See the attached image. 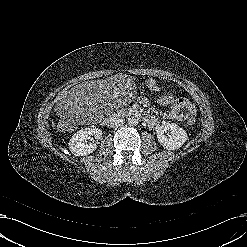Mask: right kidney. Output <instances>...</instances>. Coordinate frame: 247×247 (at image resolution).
<instances>
[{"label":"right kidney","instance_id":"right-kidney-1","mask_svg":"<svg viewBox=\"0 0 247 247\" xmlns=\"http://www.w3.org/2000/svg\"><path fill=\"white\" fill-rule=\"evenodd\" d=\"M91 136L96 139L102 137V130L94 127H88L76 132L69 141V149L75 156H85L96 150V143L88 141Z\"/></svg>","mask_w":247,"mask_h":247}]
</instances>
